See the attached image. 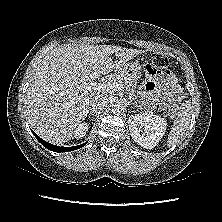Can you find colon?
I'll return each instance as SVG.
<instances>
[{
    "instance_id": "obj_1",
    "label": "colon",
    "mask_w": 222,
    "mask_h": 222,
    "mask_svg": "<svg viewBox=\"0 0 222 222\" xmlns=\"http://www.w3.org/2000/svg\"><path fill=\"white\" fill-rule=\"evenodd\" d=\"M148 74H156L161 71L168 72L170 70V61L168 57L163 54H153L150 63L145 66ZM169 114L171 117H175L177 114V104L174 100L169 107Z\"/></svg>"
}]
</instances>
